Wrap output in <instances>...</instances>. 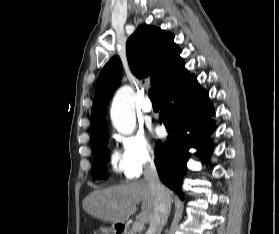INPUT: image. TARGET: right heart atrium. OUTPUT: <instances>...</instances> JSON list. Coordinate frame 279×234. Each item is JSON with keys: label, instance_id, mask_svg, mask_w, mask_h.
<instances>
[{"label": "right heart atrium", "instance_id": "1", "mask_svg": "<svg viewBox=\"0 0 279 234\" xmlns=\"http://www.w3.org/2000/svg\"><path fill=\"white\" fill-rule=\"evenodd\" d=\"M119 141L122 146L126 176L128 178L139 177L143 170L154 161L153 146L141 132L119 137Z\"/></svg>", "mask_w": 279, "mask_h": 234}]
</instances>
